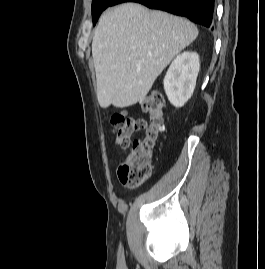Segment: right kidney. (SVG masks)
<instances>
[{
	"instance_id": "right-kidney-1",
	"label": "right kidney",
	"mask_w": 265,
	"mask_h": 269,
	"mask_svg": "<svg viewBox=\"0 0 265 269\" xmlns=\"http://www.w3.org/2000/svg\"><path fill=\"white\" fill-rule=\"evenodd\" d=\"M196 52H183L171 63L164 78V89L170 103L182 107L192 96L199 73Z\"/></svg>"
}]
</instances>
